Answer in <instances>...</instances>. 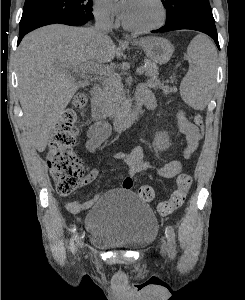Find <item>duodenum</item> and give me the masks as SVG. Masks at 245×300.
I'll return each instance as SVG.
<instances>
[{"instance_id": "duodenum-1", "label": "duodenum", "mask_w": 245, "mask_h": 300, "mask_svg": "<svg viewBox=\"0 0 245 300\" xmlns=\"http://www.w3.org/2000/svg\"><path fill=\"white\" fill-rule=\"evenodd\" d=\"M144 106L151 107L150 98L146 93L137 91L130 109L113 120L114 129L121 131L130 127L137 120ZM91 111L95 122L109 123L108 115L101 102V90L98 84H95L92 90Z\"/></svg>"}]
</instances>
